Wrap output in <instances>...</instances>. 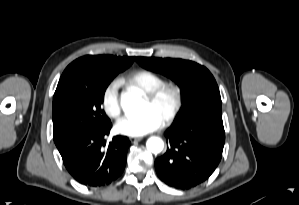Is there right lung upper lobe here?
Here are the masks:
<instances>
[{
    "label": "right lung upper lobe",
    "instance_id": "cb5924a9",
    "mask_svg": "<svg viewBox=\"0 0 299 205\" xmlns=\"http://www.w3.org/2000/svg\"><path fill=\"white\" fill-rule=\"evenodd\" d=\"M134 58L135 57H116L112 55H87L72 62L64 72L71 69L86 72H121L133 63Z\"/></svg>",
    "mask_w": 299,
    "mask_h": 205
}]
</instances>
